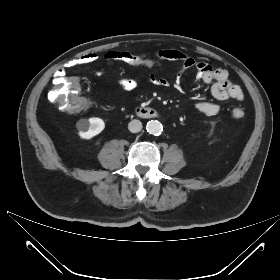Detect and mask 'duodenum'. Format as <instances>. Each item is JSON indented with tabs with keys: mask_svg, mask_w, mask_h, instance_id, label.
Instances as JSON below:
<instances>
[{
	"mask_svg": "<svg viewBox=\"0 0 280 280\" xmlns=\"http://www.w3.org/2000/svg\"><path fill=\"white\" fill-rule=\"evenodd\" d=\"M136 113L142 118H154L158 116V111L151 107H138Z\"/></svg>",
	"mask_w": 280,
	"mask_h": 280,
	"instance_id": "duodenum-1",
	"label": "duodenum"
}]
</instances>
